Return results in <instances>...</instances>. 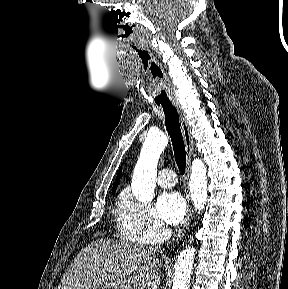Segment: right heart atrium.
Listing matches in <instances>:
<instances>
[{
	"label": "right heart atrium",
	"instance_id": "1",
	"mask_svg": "<svg viewBox=\"0 0 288 289\" xmlns=\"http://www.w3.org/2000/svg\"><path fill=\"white\" fill-rule=\"evenodd\" d=\"M121 236L139 244H156L165 240L169 229L149 203L125 194L119 205Z\"/></svg>",
	"mask_w": 288,
	"mask_h": 289
}]
</instances>
